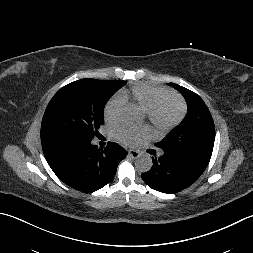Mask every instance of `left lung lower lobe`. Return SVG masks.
<instances>
[{
	"instance_id": "obj_1",
	"label": "left lung lower lobe",
	"mask_w": 253,
	"mask_h": 253,
	"mask_svg": "<svg viewBox=\"0 0 253 253\" xmlns=\"http://www.w3.org/2000/svg\"><path fill=\"white\" fill-rule=\"evenodd\" d=\"M152 160V168L142 174V179L148 186L163 193H177L189 187L208 165L191 156L166 150Z\"/></svg>"
}]
</instances>
